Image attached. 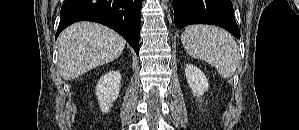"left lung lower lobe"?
<instances>
[{"label":"left lung lower lobe","instance_id":"obj_1","mask_svg":"<svg viewBox=\"0 0 299 130\" xmlns=\"http://www.w3.org/2000/svg\"><path fill=\"white\" fill-rule=\"evenodd\" d=\"M173 9L179 29L189 24H212L240 37L231 0H173Z\"/></svg>","mask_w":299,"mask_h":130}]
</instances>
